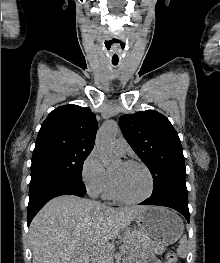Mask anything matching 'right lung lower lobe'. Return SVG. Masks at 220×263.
I'll list each match as a JSON object with an SVG mask.
<instances>
[{
  "label": "right lung lower lobe",
  "instance_id": "1",
  "mask_svg": "<svg viewBox=\"0 0 220 263\" xmlns=\"http://www.w3.org/2000/svg\"><path fill=\"white\" fill-rule=\"evenodd\" d=\"M85 193L82 180L48 171L32 173L29 184L28 226L37 212L52 198L60 195L83 196Z\"/></svg>",
  "mask_w": 220,
  "mask_h": 263
}]
</instances>
